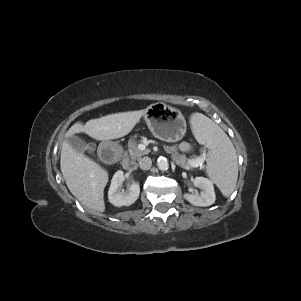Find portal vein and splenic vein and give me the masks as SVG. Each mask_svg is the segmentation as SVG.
<instances>
[{
	"mask_svg": "<svg viewBox=\"0 0 301 301\" xmlns=\"http://www.w3.org/2000/svg\"><path fill=\"white\" fill-rule=\"evenodd\" d=\"M205 159H206V154H205V152H203V154L200 157H198L196 160H194L192 162V166L198 167L199 165H201L204 162Z\"/></svg>",
	"mask_w": 301,
	"mask_h": 301,
	"instance_id": "18ae733b",
	"label": "portal vein and splenic vein"
}]
</instances>
